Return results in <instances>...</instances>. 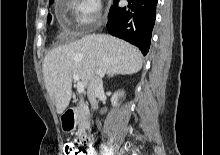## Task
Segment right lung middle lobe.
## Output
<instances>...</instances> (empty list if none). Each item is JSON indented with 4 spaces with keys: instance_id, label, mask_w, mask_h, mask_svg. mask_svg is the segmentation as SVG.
Segmentation results:
<instances>
[{
    "instance_id": "right-lung-middle-lobe-1",
    "label": "right lung middle lobe",
    "mask_w": 220,
    "mask_h": 155,
    "mask_svg": "<svg viewBox=\"0 0 220 155\" xmlns=\"http://www.w3.org/2000/svg\"><path fill=\"white\" fill-rule=\"evenodd\" d=\"M52 3H53V1L50 2V4H52ZM50 21H51V15L49 14V15H48V23H50Z\"/></svg>"
}]
</instances>
